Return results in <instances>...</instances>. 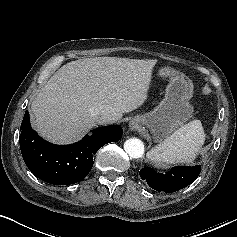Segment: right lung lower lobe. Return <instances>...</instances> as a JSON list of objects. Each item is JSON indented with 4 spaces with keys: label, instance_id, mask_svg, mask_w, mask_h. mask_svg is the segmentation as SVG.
Here are the masks:
<instances>
[{
    "label": "right lung lower lobe",
    "instance_id": "98d812e1",
    "mask_svg": "<svg viewBox=\"0 0 237 237\" xmlns=\"http://www.w3.org/2000/svg\"><path fill=\"white\" fill-rule=\"evenodd\" d=\"M19 137L21 153L29 170L39 179L54 185H69L84 179L93 166V154L107 143L121 139L117 125L99 127L91 136L70 145H54L32 130L26 111Z\"/></svg>",
    "mask_w": 237,
    "mask_h": 237
}]
</instances>
